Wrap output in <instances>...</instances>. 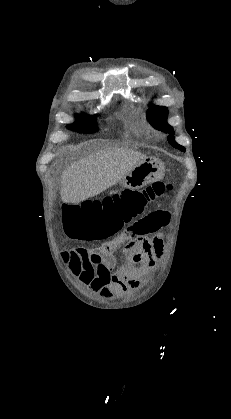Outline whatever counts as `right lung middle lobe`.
Instances as JSON below:
<instances>
[{"label": "right lung middle lobe", "instance_id": "obj_1", "mask_svg": "<svg viewBox=\"0 0 231 419\" xmlns=\"http://www.w3.org/2000/svg\"><path fill=\"white\" fill-rule=\"evenodd\" d=\"M77 120L74 124L68 125L67 127L71 130L80 133H92L97 130L95 125V116L91 117L88 115L76 116Z\"/></svg>", "mask_w": 231, "mask_h": 419}]
</instances>
